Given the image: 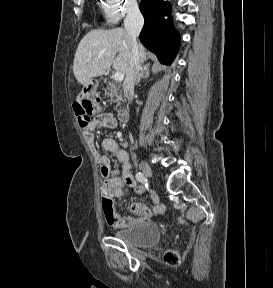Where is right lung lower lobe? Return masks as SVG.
<instances>
[{"mask_svg":"<svg viewBox=\"0 0 273 288\" xmlns=\"http://www.w3.org/2000/svg\"><path fill=\"white\" fill-rule=\"evenodd\" d=\"M139 8L145 20L140 41L157 55L161 63L170 65L178 51L179 35L174 31L170 18H163L164 15H169V3L142 0Z\"/></svg>","mask_w":273,"mask_h":288,"instance_id":"right-lung-lower-lobe-1","label":"right lung lower lobe"}]
</instances>
